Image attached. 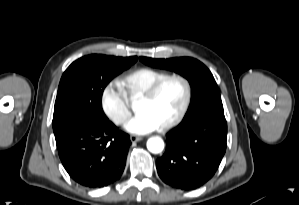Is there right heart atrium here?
Segmentation results:
<instances>
[{"label":"right heart atrium","instance_id":"1","mask_svg":"<svg viewBox=\"0 0 299 205\" xmlns=\"http://www.w3.org/2000/svg\"><path fill=\"white\" fill-rule=\"evenodd\" d=\"M100 106L106 117L117 126L124 125L131 115L127 98L115 82H109L103 87Z\"/></svg>","mask_w":299,"mask_h":205}]
</instances>
